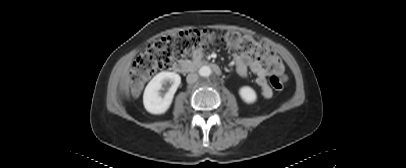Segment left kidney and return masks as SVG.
I'll list each match as a JSON object with an SVG mask.
<instances>
[{
	"label": "left kidney",
	"mask_w": 406,
	"mask_h": 168,
	"mask_svg": "<svg viewBox=\"0 0 406 168\" xmlns=\"http://www.w3.org/2000/svg\"><path fill=\"white\" fill-rule=\"evenodd\" d=\"M239 95L244 102L251 104L257 100L256 92L249 86H243L239 89Z\"/></svg>",
	"instance_id": "left-kidney-1"
}]
</instances>
